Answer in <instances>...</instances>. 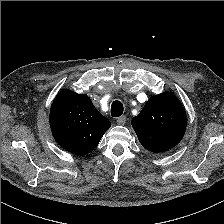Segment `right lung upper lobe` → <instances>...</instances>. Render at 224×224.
<instances>
[{"label":"right lung upper lobe","mask_w":224,"mask_h":224,"mask_svg":"<svg viewBox=\"0 0 224 224\" xmlns=\"http://www.w3.org/2000/svg\"><path fill=\"white\" fill-rule=\"evenodd\" d=\"M49 119L56 142L77 155L93 151L111 126L86 94L66 89L57 94Z\"/></svg>","instance_id":"1"}]
</instances>
